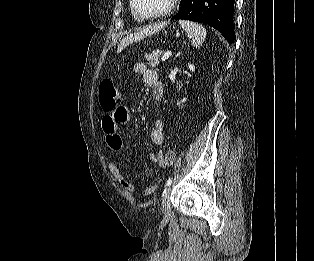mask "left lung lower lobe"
Wrapping results in <instances>:
<instances>
[{"label":"left lung lower lobe","mask_w":314,"mask_h":261,"mask_svg":"<svg viewBox=\"0 0 314 261\" xmlns=\"http://www.w3.org/2000/svg\"><path fill=\"white\" fill-rule=\"evenodd\" d=\"M234 0H183L172 20H191L215 28L229 43L234 42Z\"/></svg>","instance_id":"1"}]
</instances>
